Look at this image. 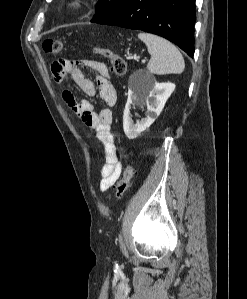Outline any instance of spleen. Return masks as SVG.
I'll list each match as a JSON object with an SVG mask.
<instances>
[{
    "label": "spleen",
    "mask_w": 247,
    "mask_h": 299,
    "mask_svg": "<svg viewBox=\"0 0 247 299\" xmlns=\"http://www.w3.org/2000/svg\"><path fill=\"white\" fill-rule=\"evenodd\" d=\"M138 38L146 44L151 55L147 65L150 73L164 75L181 74L184 71V58L171 42L150 33H139Z\"/></svg>",
    "instance_id": "3e777b00"
}]
</instances>
